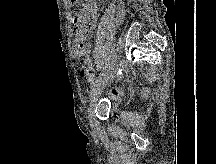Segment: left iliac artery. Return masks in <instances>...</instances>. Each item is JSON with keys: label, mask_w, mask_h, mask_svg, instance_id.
<instances>
[{"label": "left iliac artery", "mask_w": 216, "mask_h": 164, "mask_svg": "<svg viewBox=\"0 0 216 164\" xmlns=\"http://www.w3.org/2000/svg\"><path fill=\"white\" fill-rule=\"evenodd\" d=\"M107 71L104 69L102 72L99 73V76L97 77L96 79V84L95 86H97L99 84V82L101 81L102 77L104 76V74L106 73ZM94 90V89H93Z\"/></svg>", "instance_id": "obj_1"}]
</instances>
